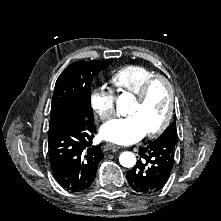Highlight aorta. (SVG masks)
<instances>
[{
    "mask_svg": "<svg viewBox=\"0 0 221 221\" xmlns=\"http://www.w3.org/2000/svg\"><path fill=\"white\" fill-rule=\"evenodd\" d=\"M125 104L126 102L122 100V98L118 100V107L123 106ZM119 162L123 167L131 168L136 163V157L132 152L126 151L121 153V155L119 156Z\"/></svg>",
    "mask_w": 221,
    "mask_h": 221,
    "instance_id": "aorta-1",
    "label": "aorta"
}]
</instances>
